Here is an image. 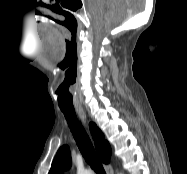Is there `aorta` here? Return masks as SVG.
Instances as JSON below:
<instances>
[{"label":"aorta","instance_id":"762f6f07","mask_svg":"<svg viewBox=\"0 0 187 174\" xmlns=\"http://www.w3.org/2000/svg\"><path fill=\"white\" fill-rule=\"evenodd\" d=\"M77 174H92V171L84 169V170H79Z\"/></svg>","mask_w":187,"mask_h":174}]
</instances>
